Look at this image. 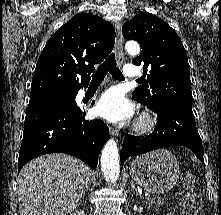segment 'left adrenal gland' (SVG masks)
Returning a JSON list of instances; mask_svg holds the SVG:
<instances>
[{
  "instance_id": "left-adrenal-gland-1",
  "label": "left adrenal gland",
  "mask_w": 221,
  "mask_h": 215,
  "mask_svg": "<svg viewBox=\"0 0 221 215\" xmlns=\"http://www.w3.org/2000/svg\"><path fill=\"white\" fill-rule=\"evenodd\" d=\"M130 187L131 188H134L135 190H136V187H135V185H134V182L131 180V183H130ZM137 191V190H136Z\"/></svg>"
}]
</instances>
